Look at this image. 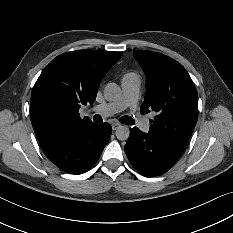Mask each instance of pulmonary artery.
<instances>
[{"label":"pulmonary artery","mask_w":233,"mask_h":233,"mask_svg":"<svg viewBox=\"0 0 233 233\" xmlns=\"http://www.w3.org/2000/svg\"><path fill=\"white\" fill-rule=\"evenodd\" d=\"M121 86L123 90V97L120 100L113 103L97 106L93 109V111L109 116L114 113L120 112L127 107L134 109L139 99L140 79L123 80ZM139 128L142 132L148 133L150 130V124L146 120H141L139 122Z\"/></svg>","instance_id":"e3ab8cb5"}]
</instances>
